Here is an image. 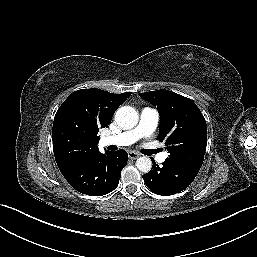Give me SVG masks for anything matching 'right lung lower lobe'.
Listing matches in <instances>:
<instances>
[{"mask_svg":"<svg viewBox=\"0 0 257 257\" xmlns=\"http://www.w3.org/2000/svg\"><path fill=\"white\" fill-rule=\"evenodd\" d=\"M128 155L125 150L99 151L73 164L59 166L68 183L77 191L90 196H102L113 191L119 182Z\"/></svg>","mask_w":257,"mask_h":257,"instance_id":"1","label":"right lung lower lobe"}]
</instances>
